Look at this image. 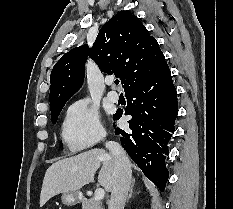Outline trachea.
Returning <instances> with one entry per match:
<instances>
[{
  "mask_svg": "<svg viewBox=\"0 0 233 209\" xmlns=\"http://www.w3.org/2000/svg\"><path fill=\"white\" fill-rule=\"evenodd\" d=\"M115 84H116V85L119 84V80H118V79L115 80Z\"/></svg>",
  "mask_w": 233,
  "mask_h": 209,
  "instance_id": "trachea-1",
  "label": "trachea"
}]
</instances>
